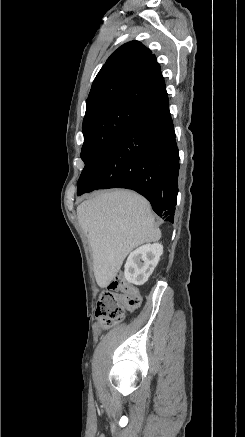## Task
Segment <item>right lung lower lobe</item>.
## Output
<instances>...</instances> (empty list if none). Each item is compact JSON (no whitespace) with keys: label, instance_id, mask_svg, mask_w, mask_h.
I'll return each mask as SVG.
<instances>
[{"label":"right lung lower lobe","instance_id":"98d812e1","mask_svg":"<svg viewBox=\"0 0 245 437\" xmlns=\"http://www.w3.org/2000/svg\"><path fill=\"white\" fill-rule=\"evenodd\" d=\"M179 166L167 98L137 112L78 186L77 194L101 188L132 189L148 199L160 217L173 222Z\"/></svg>","mask_w":245,"mask_h":437}]
</instances>
